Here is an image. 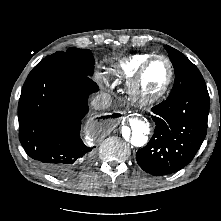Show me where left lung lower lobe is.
Listing matches in <instances>:
<instances>
[{
  "instance_id": "obj_1",
  "label": "left lung lower lobe",
  "mask_w": 221,
  "mask_h": 221,
  "mask_svg": "<svg viewBox=\"0 0 221 221\" xmlns=\"http://www.w3.org/2000/svg\"><path fill=\"white\" fill-rule=\"evenodd\" d=\"M155 130L148 144L137 151L139 166L153 175H167L188 165L207 132V88L190 89L153 107Z\"/></svg>"
}]
</instances>
